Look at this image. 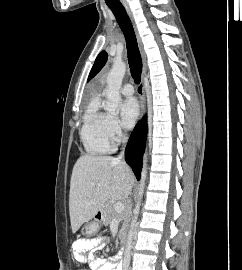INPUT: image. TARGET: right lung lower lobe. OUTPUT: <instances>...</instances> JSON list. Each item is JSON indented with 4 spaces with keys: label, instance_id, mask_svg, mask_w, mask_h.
I'll return each instance as SVG.
<instances>
[{
    "label": "right lung lower lobe",
    "instance_id": "98d812e1",
    "mask_svg": "<svg viewBox=\"0 0 242 270\" xmlns=\"http://www.w3.org/2000/svg\"><path fill=\"white\" fill-rule=\"evenodd\" d=\"M147 134L146 117L134 128L125 151L126 162L131 166L136 178L140 179L142 155L145 148Z\"/></svg>",
    "mask_w": 242,
    "mask_h": 270
}]
</instances>
